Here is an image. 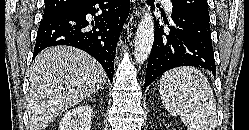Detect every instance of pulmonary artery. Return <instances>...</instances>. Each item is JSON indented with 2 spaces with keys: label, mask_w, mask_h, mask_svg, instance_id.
I'll list each match as a JSON object with an SVG mask.
<instances>
[{
  "label": "pulmonary artery",
  "mask_w": 249,
  "mask_h": 130,
  "mask_svg": "<svg viewBox=\"0 0 249 130\" xmlns=\"http://www.w3.org/2000/svg\"><path fill=\"white\" fill-rule=\"evenodd\" d=\"M163 2V4L165 5L166 9L171 12L172 11V3L170 0H161Z\"/></svg>",
  "instance_id": "1"
}]
</instances>
